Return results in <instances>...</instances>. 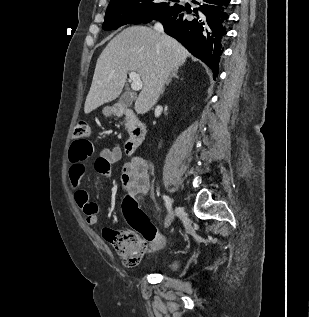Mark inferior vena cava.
Segmentation results:
<instances>
[{
  "instance_id": "inferior-vena-cava-1",
  "label": "inferior vena cava",
  "mask_w": 309,
  "mask_h": 317,
  "mask_svg": "<svg viewBox=\"0 0 309 317\" xmlns=\"http://www.w3.org/2000/svg\"><path fill=\"white\" fill-rule=\"evenodd\" d=\"M154 29L157 31V32H163V26L161 23L157 22L154 26Z\"/></svg>"
}]
</instances>
